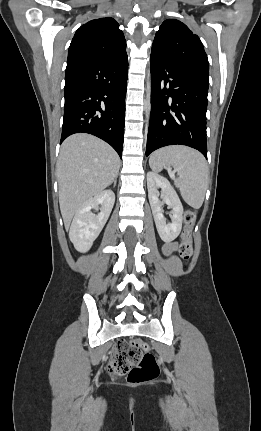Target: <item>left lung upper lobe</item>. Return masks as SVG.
<instances>
[{"instance_id": "5c2ea615", "label": "left lung upper lobe", "mask_w": 261, "mask_h": 431, "mask_svg": "<svg viewBox=\"0 0 261 431\" xmlns=\"http://www.w3.org/2000/svg\"><path fill=\"white\" fill-rule=\"evenodd\" d=\"M152 54L209 75V63L199 37L176 19L165 20L155 35Z\"/></svg>"}]
</instances>
